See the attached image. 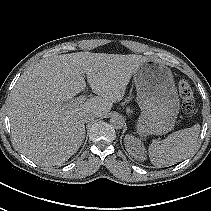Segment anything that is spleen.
Masks as SVG:
<instances>
[{
    "instance_id": "obj_1",
    "label": "spleen",
    "mask_w": 211,
    "mask_h": 211,
    "mask_svg": "<svg viewBox=\"0 0 211 211\" xmlns=\"http://www.w3.org/2000/svg\"><path fill=\"white\" fill-rule=\"evenodd\" d=\"M199 132L200 125L195 124L170 134L162 141H153L148 148L151 163L165 167L185 159L197 146Z\"/></svg>"
}]
</instances>
